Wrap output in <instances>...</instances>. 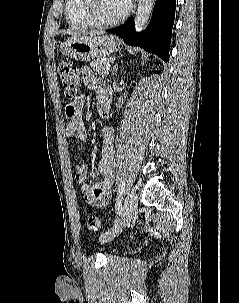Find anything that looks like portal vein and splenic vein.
<instances>
[{"label": "portal vein and splenic vein", "mask_w": 239, "mask_h": 303, "mask_svg": "<svg viewBox=\"0 0 239 303\" xmlns=\"http://www.w3.org/2000/svg\"><path fill=\"white\" fill-rule=\"evenodd\" d=\"M106 67H107V69L109 70V69L111 68L110 63H108V64L106 65Z\"/></svg>", "instance_id": "18ae733b"}]
</instances>
